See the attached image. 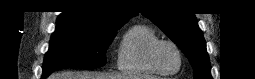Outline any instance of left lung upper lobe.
<instances>
[{"label": "left lung upper lobe", "mask_w": 255, "mask_h": 79, "mask_svg": "<svg viewBox=\"0 0 255 79\" xmlns=\"http://www.w3.org/2000/svg\"><path fill=\"white\" fill-rule=\"evenodd\" d=\"M142 14L153 21L187 56L195 79H212L205 40L193 13L174 11L165 1H152Z\"/></svg>", "instance_id": "1"}]
</instances>
